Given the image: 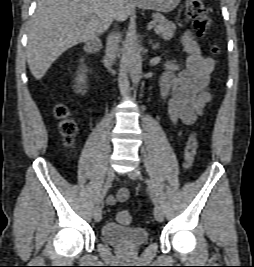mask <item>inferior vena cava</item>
<instances>
[{"mask_svg":"<svg viewBox=\"0 0 254 267\" xmlns=\"http://www.w3.org/2000/svg\"><path fill=\"white\" fill-rule=\"evenodd\" d=\"M118 41H119L118 33L112 32L111 34H109L106 44V60L108 68H110L115 61L116 53L118 50Z\"/></svg>","mask_w":254,"mask_h":267,"instance_id":"602c4592","label":"inferior vena cava"}]
</instances>
